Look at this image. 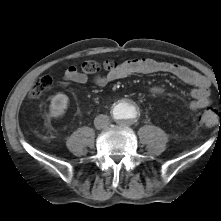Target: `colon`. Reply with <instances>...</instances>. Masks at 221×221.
Wrapping results in <instances>:
<instances>
[{
    "instance_id": "obj_1",
    "label": "colon",
    "mask_w": 221,
    "mask_h": 221,
    "mask_svg": "<svg viewBox=\"0 0 221 221\" xmlns=\"http://www.w3.org/2000/svg\"><path fill=\"white\" fill-rule=\"evenodd\" d=\"M117 67V64L112 60L95 61L87 60L81 64V70L89 75H95L103 72H110ZM53 85V79L50 76L40 77L32 86L29 95L32 98L41 96L48 91ZM199 123L206 128H212L217 124H221V115L213 108H207L199 117Z\"/></svg>"
}]
</instances>
